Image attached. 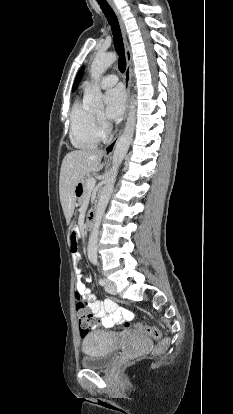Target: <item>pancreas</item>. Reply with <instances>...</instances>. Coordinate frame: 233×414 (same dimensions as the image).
Returning <instances> with one entry per match:
<instances>
[{
  "label": "pancreas",
  "instance_id": "obj_1",
  "mask_svg": "<svg viewBox=\"0 0 233 414\" xmlns=\"http://www.w3.org/2000/svg\"><path fill=\"white\" fill-rule=\"evenodd\" d=\"M88 179L89 178H85L84 181H83V184H84V192H83V196L79 200V203L80 204L83 203L87 199L89 193L91 192V189L87 185V180Z\"/></svg>",
  "mask_w": 233,
  "mask_h": 414
}]
</instances>
